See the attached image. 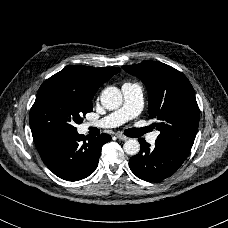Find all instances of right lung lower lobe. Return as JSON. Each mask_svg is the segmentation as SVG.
Segmentation results:
<instances>
[{"instance_id": "right-lung-lower-lobe-1", "label": "right lung lower lobe", "mask_w": 228, "mask_h": 228, "mask_svg": "<svg viewBox=\"0 0 228 228\" xmlns=\"http://www.w3.org/2000/svg\"><path fill=\"white\" fill-rule=\"evenodd\" d=\"M110 140L108 134L86 138L77 131L57 132L34 139L45 165L67 181H78L93 173L102 146Z\"/></svg>"}]
</instances>
